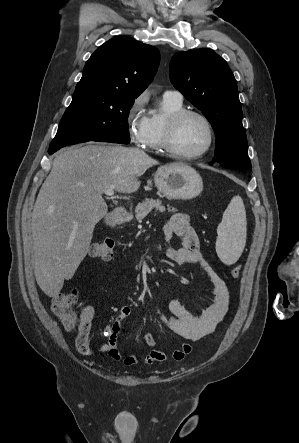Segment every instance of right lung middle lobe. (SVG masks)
Instances as JSON below:
<instances>
[{
    "label": "right lung middle lobe",
    "mask_w": 299,
    "mask_h": 443,
    "mask_svg": "<svg viewBox=\"0 0 299 443\" xmlns=\"http://www.w3.org/2000/svg\"><path fill=\"white\" fill-rule=\"evenodd\" d=\"M134 99L103 91L74 92L49 148L64 147L97 137L128 144L129 111Z\"/></svg>",
    "instance_id": "dd1d6c3e"
}]
</instances>
